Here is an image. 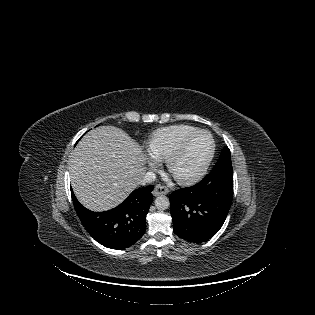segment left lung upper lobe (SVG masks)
I'll list each match as a JSON object with an SVG mask.
<instances>
[{
    "mask_svg": "<svg viewBox=\"0 0 315 315\" xmlns=\"http://www.w3.org/2000/svg\"><path fill=\"white\" fill-rule=\"evenodd\" d=\"M223 176H233L231 155L228 147H224L216 165L208 174V177L211 179H217Z\"/></svg>",
    "mask_w": 315,
    "mask_h": 315,
    "instance_id": "left-lung-upper-lobe-1",
    "label": "left lung upper lobe"
}]
</instances>
